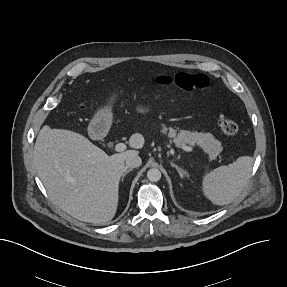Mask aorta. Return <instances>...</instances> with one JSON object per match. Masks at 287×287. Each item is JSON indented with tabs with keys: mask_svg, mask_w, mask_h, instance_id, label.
I'll return each instance as SVG.
<instances>
[{
	"mask_svg": "<svg viewBox=\"0 0 287 287\" xmlns=\"http://www.w3.org/2000/svg\"><path fill=\"white\" fill-rule=\"evenodd\" d=\"M147 178L151 182H157L161 178V172L157 168H151L147 171Z\"/></svg>",
	"mask_w": 287,
	"mask_h": 287,
	"instance_id": "obj_1",
	"label": "aorta"
}]
</instances>
